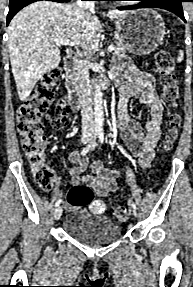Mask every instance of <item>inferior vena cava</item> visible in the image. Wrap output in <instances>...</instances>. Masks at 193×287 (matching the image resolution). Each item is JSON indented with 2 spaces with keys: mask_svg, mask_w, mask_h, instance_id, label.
Segmentation results:
<instances>
[{
  "mask_svg": "<svg viewBox=\"0 0 193 287\" xmlns=\"http://www.w3.org/2000/svg\"><path fill=\"white\" fill-rule=\"evenodd\" d=\"M76 5L80 9L94 11L93 1L77 0ZM88 61L80 59L77 65V80L80 87V105L82 117V138L91 139L94 136L93 107L91 98V87L89 79Z\"/></svg>",
  "mask_w": 193,
  "mask_h": 287,
  "instance_id": "1",
  "label": "inferior vena cava"
}]
</instances>
